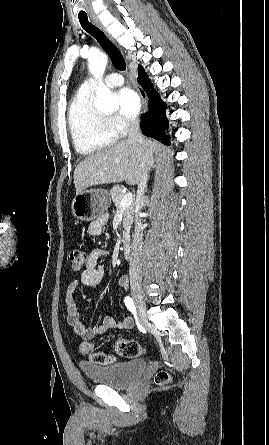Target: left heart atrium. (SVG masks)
I'll list each match as a JSON object with an SVG mask.
<instances>
[{
    "instance_id": "39dd6f15",
    "label": "left heart atrium",
    "mask_w": 269,
    "mask_h": 445,
    "mask_svg": "<svg viewBox=\"0 0 269 445\" xmlns=\"http://www.w3.org/2000/svg\"><path fill=\"white\" fill-rule=\"evenodd\" d=\"M120 112L126 117H136L140 109V98L131 88H123L117 93Z\"/></svg>"
}]
</instances>
